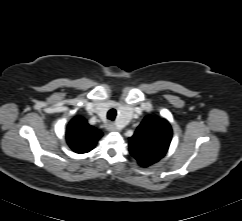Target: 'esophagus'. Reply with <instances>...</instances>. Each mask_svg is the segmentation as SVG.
Listing matches in <instances>:
<instances>
[{"mask_svg":"<svg viewBox=\"0 0 242 221\" xmlns=\"http://www.w3.org/2000/svg\"><path fill=\"white\" fill-rule=\"evenodd\" d=\"M107 129L109 130V131H116L117 130V127H116V125L114 124V123H108L107 124Z\"/></svg>","mask_w":242,"mask_h":221,"instance_id":"34e87169","label":"esophagus"}]
</instances>
